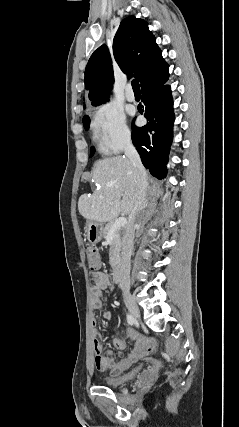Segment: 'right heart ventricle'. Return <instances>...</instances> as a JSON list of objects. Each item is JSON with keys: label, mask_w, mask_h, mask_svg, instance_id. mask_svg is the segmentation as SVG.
<instances>
[{"label": "right heart ventricle", "mask_w": 239, "mask_h": 427, "mask_svg": "<svg viewBox=\"0 0 239 427\" xmlns=\"http://www.w3.org/2000/svg\"><path fill=\"white\" fill-rule=\"evenodd\" d=\"M98 137V136H97ZM101 150L103 151V152H107L102 146H101Z\"/></svg>", "instance_id": "1"}]
</instances>
